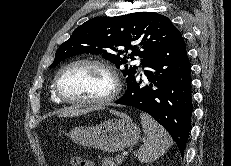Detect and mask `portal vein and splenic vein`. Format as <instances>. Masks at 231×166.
I'll list each match as a JSON object with an SVG mask.
<instances>
[{"label": "portal vein and splenic vein", "instance_id": "1", "mask_svg": "<svg viewBox=\"0 0 231 166\" xmlns=\"http://www.w3.org/2000/svg\"><path fill=\"white\" fill-rule=\"evenodd\" d=\"M127 154V152H123L121 156H119V158H124V156Z\"/></svg>", "mask_w": 231, "mask_h": 166}]
</instances>
